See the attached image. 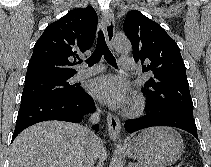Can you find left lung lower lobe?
<instances>
[{"label": "left lung lower lobe", "mask_w": 211, "mask_h": 167, "mask_svg": "<svg viewBox=\"0 0 211 167\" xmlns=\"http://www.w3.org/2000/svg\"><path fill=\"white\" fill-rule=\"evenodd\" d=\"M153 126L177 127L191 133L198 139L197 127L193 116L180 111H168L163 113H153L150 111L147 116L127 120L125 122V129L128 133Z\"/></svg>", "instance_id": "left-lung-lower-lobe-1"}]
</instances>
